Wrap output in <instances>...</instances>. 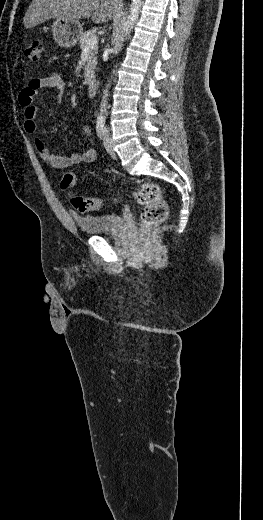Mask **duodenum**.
Here are the masks:
<instances>
[{
	"label": "duodenum",
	"instance_id": "obj_1",
	"mask_svg": "<svg viewBox=\"0 0 263 520\" xmlns=\"http://www.w3.org/2000/svg\"><path fill=\"white\" fill-rule=\"evenodd\" d=\"M98 91V83L96 80H90L88 82V94L90 97L96 96Z\"/></svg>",
	"mask_w": 263,
	"mask_h": 520
}]
</instances>
